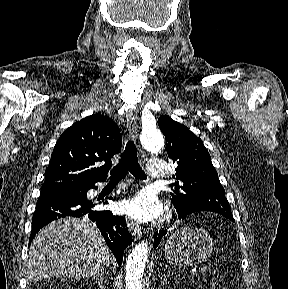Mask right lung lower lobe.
I'll list each match as a JSON object with an SVG mask.
<instances>
[{
  "mask_svg": "<svg viewBox=\"0 0 288 289\" xmlns=\"http://www.w3.org/2000/svg\"><path fill=\"white\" fill-rule=\"evenodd\" d=\"M95 183L82 187V193L78 195L64 194L55 197H40L32 218L30 241L41 228L57 218L65 216L82 217L87 215L90 220L96 222L106 244L120 266L123 251L131 244L132 239L125 219L122 216H115L110 211L92 210L94 204L87 199V191L91 188L96 189ZM110 199L112 198L110 197ZM106 203L104 202V204Z\"/></svg>",
  "mask_w": 288,
  "mask_h": 289,
  "instance_id": "obj_1",
  "label": "right lung lower lobe"
}]
</instances>
